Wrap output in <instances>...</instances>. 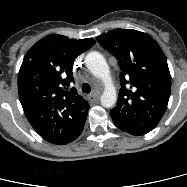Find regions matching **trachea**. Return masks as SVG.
I'll list each match as a JSON object with an SVG mask.
<instances>
[{
    "mask_svg": "<svg viewBox=\"0 0 187 187\" xmlns=\"http://www.w3.org/2000/svg\"><path fill=\"white\" fill-rule=\"evenodd\" d=\"M82 91L84 93H90V91H91L90 85L87 84V83H84L83 86H82Z\"/></svg>",
    "mask_w": 187,
    "mask_h": 187,
    "instance_id": "trachea-1",
    "label": "trachea"
}]
</instances>
